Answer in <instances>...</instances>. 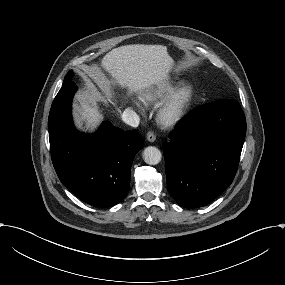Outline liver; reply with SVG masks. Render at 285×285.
I'll return each mask as SVG.
<instances>
[{
  "instance_id": "6515ba94",
  "label": "liver",
  "mask_w": 285,
  "mask_h": 285,
  "mask_svg": "<svg viewBox=\"0 0 285 285\" xmlns=\"http://www.w3.org/2000/svg\"><path fill=\"white\" fill-rule=\"evenodd\" d=\"M172 62L173 59L169 55L167 47L145 45H131L114 49L103 60L104 66L116 78L137 90L153 83L158 86L164 85ZM104 73L103 66L96 62L82 66V74L87 78L91 94L78 97L80 106L77 107V112L80 123L83 122V118L89 116L92 117L89 124L98 119L95 97L101 98V95L89 77L100 87H105L109 82L103 76Z\"/></svg>"
}]
</instances>
